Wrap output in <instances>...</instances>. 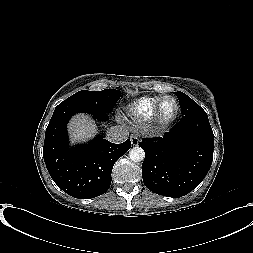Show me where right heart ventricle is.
Here are the masks:
<instances>
[{"mask_svg":"<svg viewBox=\"0 0 253 253\" xmlns=\"http://www.w3.org/2000/svg\"><path fill=\"white\" fill-rule=\"evenodd\" d=\"M160 98V96H146L133 102L129 107L131 119L138 123L151 120L154 108Z\"/></svg>","mask_w":253,"mask_h":253,"instance_id":"1","label":"right heart ventricle"}]
</instances>
